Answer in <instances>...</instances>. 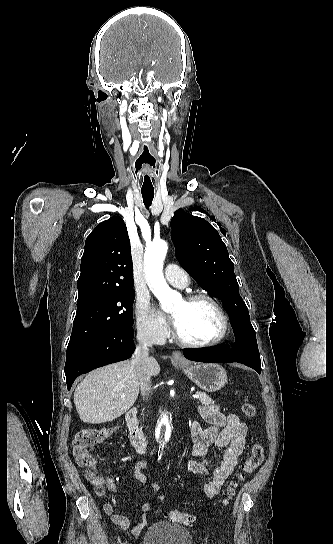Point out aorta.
<instances>
[{
    "mask_svg": "<svg viewBox=\"0 0 333 544\" xmlns=\"http://www.w3.org/2000/svg\"><path fill=\"white\" fill-rule=\"evenodd\" d=\"M168 250L167 243L163 240L155 241L147 246L144 255L145 271L151 291L159 300L165 311H170L174 303L181 299L176 291H173L167 284L163 275V261ZM171 434L170 421L164 415L159 424L157 438L166 444Z\"/></svg>",
    "mask_w": 333,
    "mask_h": 544,
    "instance_id": "762f6f07",
    "label": "aorta"
}]
</instances>
